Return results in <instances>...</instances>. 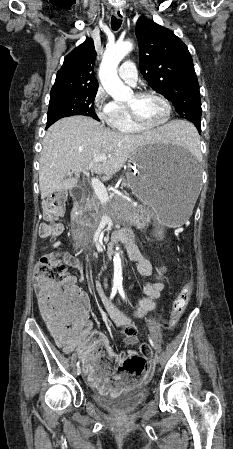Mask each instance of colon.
I'll return each mask as SVG.
<instances>
[{
    "mask_svg": "<svg viewBox=\"0 0 233 449\" xmlns=\"http://www.w3.org/2000/svg\"><path fill=\"white\" fill-rule=\"evenodd\" d=\"M66 198L65 193L47 198L44 211L48 223L42 228L43 237L52 238L57 235L59 224L56 220L63 214ZM46 247L48 252L38 259L34 272L41 312L51 326L55 340H63L64 334L68 337L88 334L90 322L86 295L74 284L64 265L56 263L58 255L55 251L50 246ZM191 295L192 282L188 280L172 303L169 315L171 327L177 325L191 300ZM150 353V347L141 343L137 352L124 358L118 370L126 375H141Z\"/></svg>",
    "mask_w": 233,
    "mask_h": 449,
    "instance_id": "1",
    "label": "colon"
}]
</instances>
